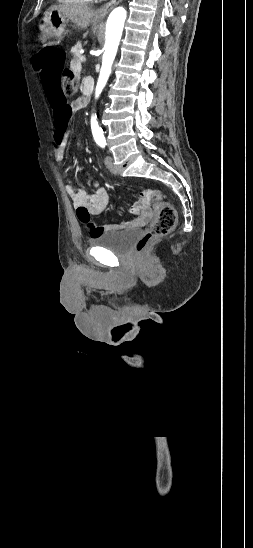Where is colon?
<instances>
[{"label":"colon","mask_w":253,"mask_h":548,"mask_svg":"<svg viewBox=\"0 0 253 548\" xmlns=\"http://www.w3.org/2000/svg\"><path fill=\"white\" fill-rule=\"evenodd\" d=\"M34 62L40 69V82L48 96L49 105H54V122L60 133H67L73 119L70 113L71 96L76 92L75 76L64 69L65 55L56 48H44L34 56ZM56 141L62 140L61 134L55 135ZM155 208V218L151 227L137 243L138 253L145 251L157 238L173 231L177 221L174 207L165 201L152 198Z\"/></svg>","instance_id":"colon-1"}]
</instances>
